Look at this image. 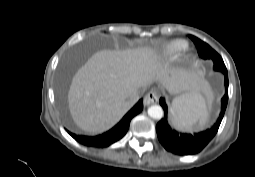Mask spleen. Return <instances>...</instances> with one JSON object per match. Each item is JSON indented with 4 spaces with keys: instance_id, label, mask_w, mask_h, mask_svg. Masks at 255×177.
Listing matches in <instances>:
<instances>
[{
    "instance_id": "spleen-1",
    "label": "spleen",
    "mask_w": 255,
    "mask_h": 177,
    "mask_svg": "<svg viewBox=\"0 0 255 177\" xmlns=\"http://www.w3.org/2000/svg\"><path fill=\"white\" fill-rule=\"evenodd\" d=\"M172 112L173 123L180 129H189L196 123L204 125L208 118L204 98L197 93L176 98Z\"/></svg>"
}]
</instances>
